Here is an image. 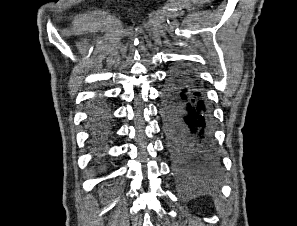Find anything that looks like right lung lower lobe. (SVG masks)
Here are the masks:
<instances>
[{
  "label": "right lung lower lobe",
  "mask_w": 297,
  "mask_h": 226,
  "mask_svg": "<svg viewBox=\"0 0 297 226\" xmlns=\"http://www.w3.org/2000/svg\"><path fill=\"white\" fill-rule=\"evenodd\" d=\"M111 114V108L106 97L95 98L88 109L90 141L97 154V161L103 160L108 140L112 135Z\"/></svg>",
  "instance_id": "obj_1"
}]
</instances>
